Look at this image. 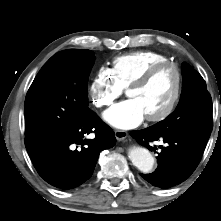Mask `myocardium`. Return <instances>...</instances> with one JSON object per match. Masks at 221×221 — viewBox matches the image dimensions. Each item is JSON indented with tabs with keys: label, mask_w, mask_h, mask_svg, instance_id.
Returning a JSON list of instances; mask_svg holds the SVG:
<instances>
[{
	"label": "myocardium",
	"mask_w": 221,
	"mask_h": 221,
	"mask_svg": "<svg viewBox=\"0 0 221 221\" xmlns=\"http://www.w3.org/2000/svg\"><path fill=\"white\" fill-rule=\"evenodd\" d=\"M167 67L172 68L176 74V84H175L174 94L170 102L166 106V108H164L161 112L154 115L146 116V119L150 122L163 121L166 118H168L175 110L181 98L182 89H183V73L179 64L170 60L156 63L150 66L149 68H147L146 71L141 76H139L133 83H131L127 88L128 92L131 89H138L145 87L159 71Z\"/></svg>",
	"instance_id": "1"
}]
</instances>
